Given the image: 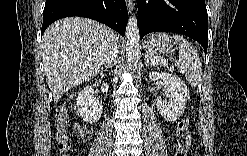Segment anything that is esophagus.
Masks as SVG:
<instances>
[{
    "instance_id": "34e87169",
    "label": "esophagus",
    "mask_w": 247,
    "mask_h": 156,
    "mask_svg": "<svg viewBox=\"0 0 247 156\" xmlns=\"http://www.w3.org/2000/svg\"><path fill=\"white\" fill-rule=\"evenodd\" d=\"M126 4H127V8H128L129 13H132L134 10V5H135L133 0H127Z\"/></svg>"
}]
</instances>
